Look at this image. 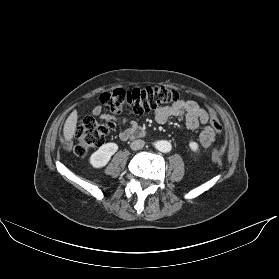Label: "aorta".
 Returning <instances> with one entry per match:
<instances>
[{
    "label": "aorta",
    "instance_id": "aorta-1",
    "mask_svg": "<svg viewBox=\"0 0 279 279\" xmlns=\"http://www.w3.org/2000/svg\"><path fill=\"white\" fill-rule=\"evenodd\" d=\"M155 147H156L159 151H161V152H163V153L170 152L171 149H172L171 143H170L169 141H167V140L157 141V142L155 143Z\"/></svg>",
    "mask_w": 279,
    "mask_h": 279
}]
</instances>
